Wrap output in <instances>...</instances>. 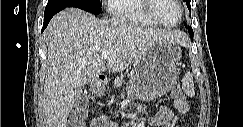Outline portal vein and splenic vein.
Segmentation results:
<instances>
[{
    "label": "portal vein and splenic vein",
    "instance_id": "18ae733b",
    "mask_svg": "<svg viewBox=\"0 0 243 127\" xmlns=\"http://www.w3.org/2000/svg\"><path fill=\"white\" fill-rule=\"evenodd\" d=\"M110 53H111L110 50H105V51H103V52L101 53V58L104 59V60L107 59V58L109 57Z\"/></svg>",
    "mask_w": 243,
    "mask_h": 127
}]
</instances>
